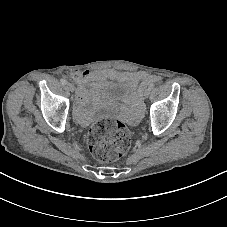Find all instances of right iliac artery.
<instances>
[{
  "label": "right iliac artery",
  "mask_w": 227,
  "mask_h": 227,
  "mask_svg": "<svg viewBox=\"0 0 227 227\" xmlns=\"http://www.w3.org/2000/svg\"><path fill=\"white\" fill-rule=\"evenodd\" d=\"M60 82H61L62 85H66L67 84V80H65V79H61Z\"/></svg>",
  "instance_id": "1"
}]
</instances>
